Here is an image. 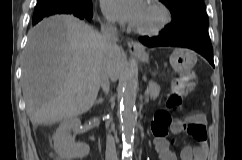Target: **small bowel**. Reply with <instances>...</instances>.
<instances>
[{
  "label": "small bowel",
  "instance_id": "c3829d8e",
  "mask_svg": "<svg viewBox=\"0 0 242 160\" xmlns=\"http://www.w3.org/2000/svg\"><path fill=\"white\" fill-rule=\"evenodd\" d=\"M201 125L204 128L206 138L201 140H196L197 145L195 146H185L180 153V160H206L207 156V132L205 126V119L203 115L195 113L189 115L186 119H175L171 121L168 126V131L170 130L172 134L177 135L184 131H187L193 137V129ZM155 134L154 146L159 155L160 160H178L175 153L170 149L171 141L167 138V134Z\"/></svg>",
  "mask_w": 242,
  "mask_h": 160
}]
</instances>
